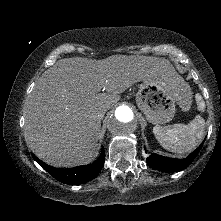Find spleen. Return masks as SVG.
Segmentation results:
<instances>
[{
    "label": "spleen",
    "mask_w": 221,
    "mask_h": 221,
    "mask_svg": "<svg viewBox=\"0 0 221 221\" xmlns=\"http://www.w3.org/2000/svg\"><path fill=\"white\" fill-rule=\"evenodd\" d=\"M188 89L190 90L189 86ZM191 93V91H190ZM198 109L203 111L205 103L201 95L196 94ZM205 131V120L197 115L190 123H177L169 126H154L153 133L160 145L168 151L178 154L192 151L201 141Z\"/></svg>",
    "instance_id": "spleen-1"
}]
</instances>
